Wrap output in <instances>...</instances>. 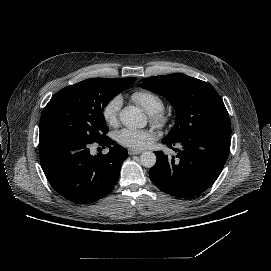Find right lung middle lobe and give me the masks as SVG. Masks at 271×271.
<instances>
[{"label": "right lung middle lobe", "mask_w": 271, "mask_h": 271, "mask_svg": "<svg viewBox=\"0 0 271 271\" xmlns=\"http://www.w3.org/2000/svg\"><path fill=\"white\" fill-rule=\"evenodd\" d=\"M136 78H94L61 89L45 106L40 119V140L70 137L100 142L108 127L102 108Z\"/></svg>", "instance_id": "obj_1"}]
</instances>
